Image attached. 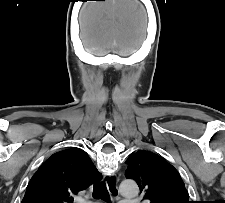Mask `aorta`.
<instances>
[{
  "mask_svg": "<svg viewBox=\"0 0 225 203\" xmlns=\"http://www.w3.org/2000/svg\"><path fill=\"white\" fill-rule=\"evenodd\" d=\"M119 191L124 196H135L138 194L137 183L133 180H123L119 185Z\"/></svg>",
  "mask_w": 225,
  "mask_h": 203,
  "instance_id": "762f6f07",
  "label": "aorta"
}]
</instances>
